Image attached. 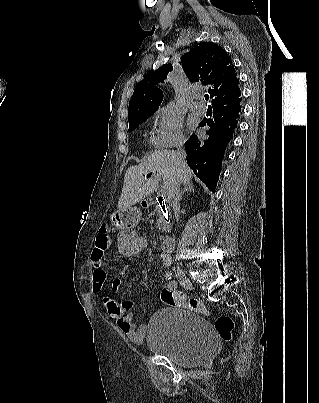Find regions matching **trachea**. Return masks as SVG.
I'll return each instance as SVG.
<instances>
[{
	"instance_id": "3493384b",
	"label": "trachea",
	"mask_w": 319,
	"mask_h": 403,
	"mask_svg": "<svg viewBox=\"0 0 319 403\" xmlns=\"http://www.w3.org/2000/svg\"><path fill=\"white\" fill-rule=\"evenodd\" d=\"M204 97H205L206 100L209 99V95H208V94H205Z\"/></svg>"
}]
</instances>
